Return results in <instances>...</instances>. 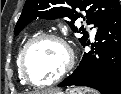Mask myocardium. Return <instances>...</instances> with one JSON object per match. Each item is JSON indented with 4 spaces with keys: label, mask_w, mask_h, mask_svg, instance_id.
Listing matches in <instances>:
<instances>
[{
    "label": "myocardium",
    "mask_w": 121,
    "mask_h": 94,
    "mask_svg": "<svg viewBox=\"0 0 121 94\" xmlns=\"http://www.w3.org/2000/svg\"><path fill=\"white\" fill-rule=\"evenodd\" d=\"M44 40H51V41H55L58 44H60L62 46V48L64 49L66 61H65V65L63 66L62 70L52 80H50L46 83H36L30 78V76L28 74V71L26 68V60H27L28 54L31 51V49L37 43L44 41ZM73 66H74V54H73L72 48L61 36L56 35V34H51V33L39 34V35L33 37L32 39H30L26 43V45L20 55V61H19V69H20V73H21V76L23 77L24 82H26L27 84H29L31 86L39 87V88L48 87V86H51L53 84L60 82L72 70Z\"/></svg>",
    "instance_id": "myocardium-1"
}]
</instances>
